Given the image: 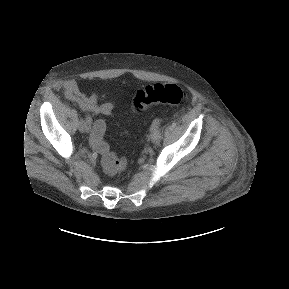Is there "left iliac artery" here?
Segmentation results:
<instances>
[{
	"label": "left iliac artery",
	"instance_id": "44dca946",
	"mask_svg": "<svg viewBox=\"0 0 289 289\" xmlns=\"http://www.w3.org/2000/svg\"><path fill=\"white\" fill-rule=\"evenodd\" d=\"M159 125H160V119L156 118V119L153 120V122H152L151 129L156 128V127H159Z\"/></svg>",
	"mask_w": 289,
	"mask_h": 289
}]
</instances>
